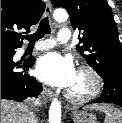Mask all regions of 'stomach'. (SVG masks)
I'll return each mask as SVG.
<instances>
[{"label":"stomach","mask_w":122,"mask_h":123,"mask_svg":"<svg viewBox=\"0 0 122 123\" xmlns=\"http://www.w3.org/2000/svg\"><path fill=\"white\" fill-rule=\"evenodd\" d=\"M74 123H97V118L87 111L76 112L73 115Z\"/></svg>","instance_id":"0dacf381"}]
</instances>
